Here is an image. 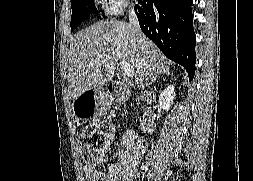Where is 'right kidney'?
<instances>
[{
  "instance_id": "obj_1",
  "label": "right kidney",
  "mask_w": 253,
  "mask_h": 181,
  "mask_svg": "<svg viewBox=\"0 0 253 181\" xmlns=\"http://www.w3.org/2000/svg\"><path fill=\"white\" fill-rule=\"evenodd\" d=\"M174 85H169L159 96V105L163 110L169 111L175 97Z\"/></svg>"
}]
</instances>
